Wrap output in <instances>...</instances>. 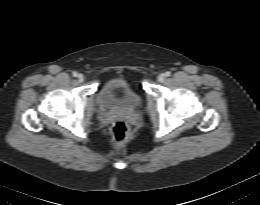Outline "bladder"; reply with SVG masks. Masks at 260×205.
<instances>
[{
  "mask_svg": "<svg viewBox=\"0 0 260 205\" xmlns=\"http://www.w3.org/2000/svg\"><path fill=\"white\" fill-rule=\"evenodd\" d=\"M97 104L104 110H136L141 107L139 93L124 78H113L101 85L96 96Z\"/></svg>",
  "mask_w": 260,
  "mask_h": 205,
  "instance_id": "bladder-1",
  "label": "bladder"
}]
</instances>
